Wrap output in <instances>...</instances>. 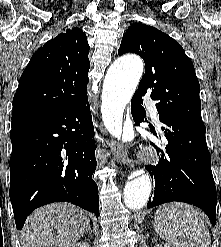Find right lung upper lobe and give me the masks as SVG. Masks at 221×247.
Listing matches in <instances>:
<instances>
[{
	"label": "right lung upper lobe",
	"mask_w": 221,
	"mask_h": 247,
	"mask_svg": "<svg viewBox=\"0 0 221 247\" xmlns=\"http://www.w3.org/2000/svg\"><path fill=\"white\" fill-rule=\"evenodd\" d=\"M88 54L87 37L78 27L40 47L20 77L12 120L63 110L86 99Z\"/></svg>",
	"instance_id": "cb5924a9"
}]
</instances>
